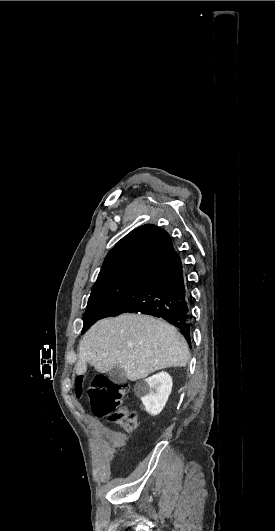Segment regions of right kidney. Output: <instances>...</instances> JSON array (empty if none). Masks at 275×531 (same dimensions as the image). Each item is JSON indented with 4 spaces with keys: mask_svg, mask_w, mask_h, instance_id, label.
<instances>
[{
    "mask_svg": "<svg viewBox=\"0 0 275 531\" xmlns=\"http://www.w3.org/2000/svg\"><path fill=\"white\" fill-rule=\"evenodd\" d=\"M172 377L162 371L134 385V393L142 401L145 411L150 415H159L163 411L172 391Z\"/></svg>",
    "mask_w": 275,
    "mask_h": 531,
    "instance_id": "obj_1",
    "label": "right kidney"
}]
</instances>
